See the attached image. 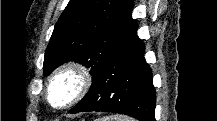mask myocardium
Listing matches in <instances>:
<instances>
[{
	"instance_id": "myocardium-1",
	"label": "myocardium",
	"mask_w": 217,
	"mask_h": 121,
	"mask_svg": "<svg viewBox=\"0 0 217 121\" xmlns=\"http://www.w3.org/2000/svg\"><path fill=\"white\" fill-rule=\"evenodd\" d=\"M71 77L76 82L75 90L66 102L57 105L52 101V91L55 83L63 77ZM93 85V74L89 67L79 62H70L60 66L49 77L45 96L48 104L55 110H64L81 100Z\"/></svg>"
}]
</instances>
